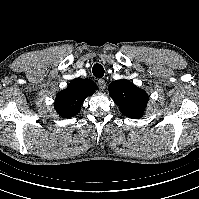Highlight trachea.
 <instances>
[{
  "mask_svg": "<svg viewBox=\"0 0 199 199\" xmlns=\"http://www.w3.org/2000/svg\"><path fill=\"white\" fill-rule=\"evenodd\" d=\"M93 75L97 78L104 76V68L101 64L96 63L92 68Z\"/></svg>",
  "mask_w": 199,
  "mask_h": 199,
  "instance_id": "obj_1",
  "label": "trachea"
}]
</instances>
